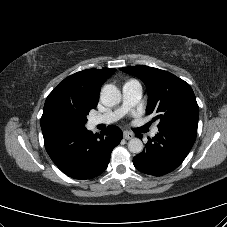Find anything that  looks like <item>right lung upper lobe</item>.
Here are the masks:
<instances>
[{
    "mask_svg": "<svg viewBox=\"0 0 227 227\" xmlns=\"http://www.w3.org/2000/svg\"><path fill=\"white\" fill-rule=\"evenodd\" d=\"M116 69H86L65 78L54 90L96 108L102 84Z\"/></svg>",
    "mask_w": 227,
    "mask_h": 227,
    "instance_id": "1",
    "label": "right lung upper lobe"
}]
</instances>
